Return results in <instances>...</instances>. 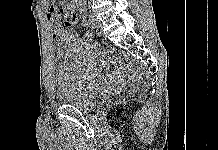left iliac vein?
I'll use <instances>...</instances> for the list:
<instances>
[{"mask_svg": "<svg viewBox=\"0 0 218 150\" xmlns=\"http://www.w3.org/2000/svg\"><path fill=\"white\" fill-rule=\"evenodd\" d=\"M89 22L90 25L97 30H101L102 28V23L99 19H97L94 15H90L89 16Z\"/></svg>", "mask_w": 218, "mask_h": 150, "instance_id": "left-iliac-vein-1", "label": "left iliac vein"}]
</instances>
